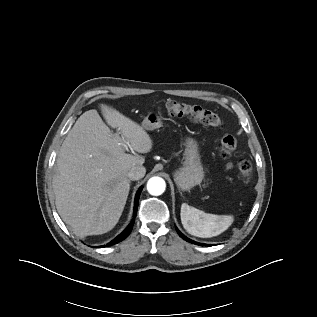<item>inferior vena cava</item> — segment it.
<instances>
[{
	"mask_svg": "<svg viewBox=\"0 0 317 317\" xmlns=\"http://www.w3.org/2000/svg\"><path fill=\"white\" fill-rule=\"evenodd\" d=\"M146 169L144 166H134L132 167L127 176L130 180H139L145 176Z\"/></svg>",
	"mask_w": 317,
	"mask_h": 317,
	"instance_id": "obj_1",
	"label": "inferior vena cava"
}]
</instances>
